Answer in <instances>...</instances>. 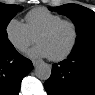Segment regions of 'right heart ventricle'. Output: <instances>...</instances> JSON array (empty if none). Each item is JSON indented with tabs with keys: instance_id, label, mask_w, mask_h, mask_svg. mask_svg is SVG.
I'll list each match as a JSON object with an SVG mask.
<instances>
[{
	"instance_id": "right-heart-ventricle-1",
	"label": "right heart ventricle",
	"mask_w": 95,
	"mask_h": 95,
	"mask_svg": "<svg viewBox=\"0 0 95 95\" xmlns=\"http://www.w3.org/2000/svg\"><path fill=\"white\" fill-rule=\"evenodd\" d=\"M63 18L45 8H35L25 16V25L32 36H36L49 25Z\"/></svg>"
}]
</instances>
